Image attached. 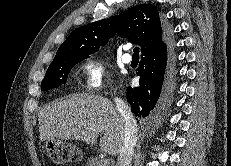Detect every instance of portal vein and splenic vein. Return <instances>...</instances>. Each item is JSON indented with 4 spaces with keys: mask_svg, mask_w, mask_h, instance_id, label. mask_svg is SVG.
Masks as SVG:
<instances>
[{
    "mask_svg": "<svg viewBox=\"0 0 231 166\" xmlns=\"http://www.w3.org/2000/svg\"><path fill=\"white\" fill-rule=\"evenodd\" d=\"M103 161L107 164H109V160L108 159H103Z\"/></svg>",
    "mask_w": 231,
    "mask_h": 166,
    "instance_id": "obj_1",
    "label": "portal vein and splenic vein"
}]
</instances>
